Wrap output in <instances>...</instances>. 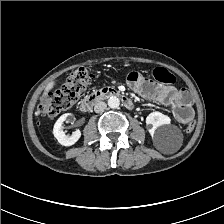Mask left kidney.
<instances>
[{"mask_svg": "<svg viewBox=\"0 0 224 224\" xmlns=\"http://www.w3.org/2000/svg\"><path fill=\"white\" fill-rule=\"evenodd\" d=\"M170 122L171 119L168 116L158 111L150 113L146 118V124L151 126V128L148 129L150 135L160 142H166L168 138L165 134L161 133L159 128L163 125L170 124Z\"/></svg>", "mask_w": 224, "mask_h": 224, "instance_id": "obj_1", "label": "left kidney"}]
</instances>
